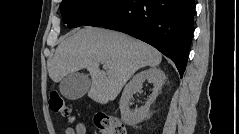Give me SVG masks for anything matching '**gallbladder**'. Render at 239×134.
Listing matches in <instances>:
<instances>
[{
  "label": "gallbladder",
  "instance_id": "gallbladder-1",
  "mask_svg": "<svg viewBox=\"0 0 239 134\" xmlns=\"http://www.w3.org/2000/svg\"><path fill=\"white\" fill-rule=\"evenodd\" d=\"M90 85L91 82L87 75L74 72L61 80L59 89L65 98L76 100L83 97L87 93Z\"/></svg>",
  "mask_w": 239,
  "mask_h": 134
}]
</instances>
